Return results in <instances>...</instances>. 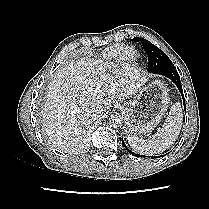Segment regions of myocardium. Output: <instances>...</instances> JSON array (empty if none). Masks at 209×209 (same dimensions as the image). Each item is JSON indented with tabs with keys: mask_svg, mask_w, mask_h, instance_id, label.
Returning a JSON list of instances; mask_svg holds the SVG:
<instances>
[{
	"mask_svg": "<svg viewBox=\"0 0 209 209\" xmlns=\"http://www.w3.org/2000/svg\"><path fill=\"white\" fill-rule=\"evenodd\" d=\"M129 52H132L133 54L136 53V51L133 48L125 47V48H123V50L120 54V59L123 61H131V56H128Z\"/></svg>",
	"mask_w": 209,
	"mask_h": 209,
	"instance_id": "myocardium-1",
	"label": "myocardium"
}]
</instances>
